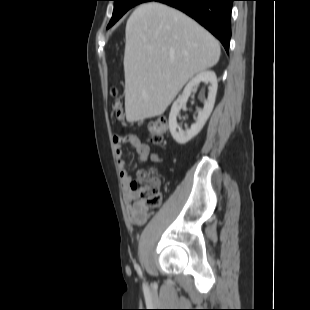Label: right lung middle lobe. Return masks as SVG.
<instances>
[{
	"instance_id": "dd1d6c3e",
	"label": "right lung middle lobe",
	"mask_w": 310,
	"mask_h": 310,
	"mask_svg": "<svg viewBox=\"0 0 310 310\" xmlns=\"http://www.w3.org/2000/svg\"><path fill=\"white\" fill-rule=\"evenodd\" d=\"M114 3V10L112 18L107 26L110 28L116 21H118L130 8L146 2L148 0H113Z\"/></svg>"
}]
</instances>
